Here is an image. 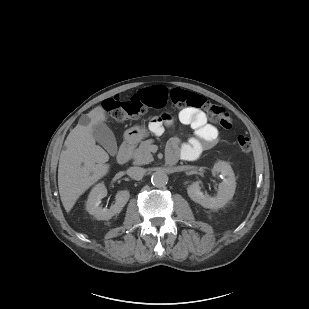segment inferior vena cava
<instances>
[{"label": "inferior vena cava", "instance_id": "obj_1", "mask_svg": "<svg viewBox=\"0 0 309 309\" xmlns=\"http://www.w3.org/2000/svg\"><path fill=\"white\" fill-rule=\"evenodd\" d=\"M127 174L135 180H141L145 174V169L141 167H136V166L130 167L127 170Z\"/></svg>", "mask_w": 309, "mask_h": 309}]
</instances>
